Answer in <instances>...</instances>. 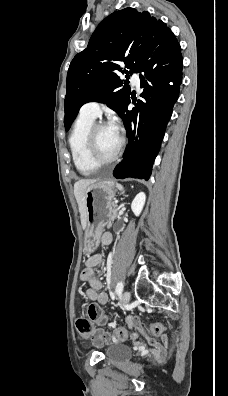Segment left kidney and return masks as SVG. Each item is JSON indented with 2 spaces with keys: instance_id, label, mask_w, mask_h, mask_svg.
Wrapping results in <instances>:
<instances>
[{
  "instance_id": "5707ae66",
  "label": "left kidney",
  "mask_w": 228,
  "mask_h": 396,
  "mask_svg": "<svg viewBox=\"0 0 228 396\" xmlns=\"http://www.w3.org/2000/svg\"><path fill=\"white\" fill-rule=\"evenodd\" d=\"M145 201H146V195L144 192H140L136 195V197L134 198V200L132 201V204H131V209H132L133 213L135 214V216L140 215V213L143 210Z\"/></svg>"
}]
</instances>
